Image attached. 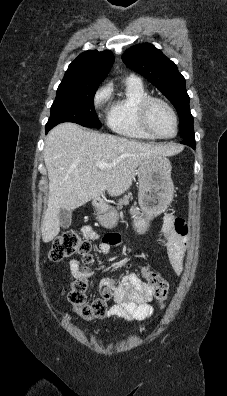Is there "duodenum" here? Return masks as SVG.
Returning <instances> with one entry per match:
<instances>
[{
	"label": "duodenum",
	"instance_id": "1",
	"mask_svg": "<svg viewBox=\"0 0 227 396\" xmlns=\"http://www.w3.org/2000/svg\"><path fill=\"white\" fill-rule=\"evenodd\" d=\"M93 203L98 208H104L105 207V202L100 197L94 198Z\"/></svg>",
	"mask_w": 227,
	"mask_h": 396
}]
</instances>
